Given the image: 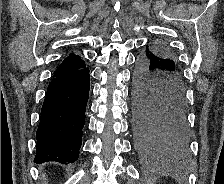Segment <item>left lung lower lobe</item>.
<instances>
[{
	"instance_id": "0a47b994",
	"label": "left lung lower lobe",
	"mask_w": 224,
	"mask_h": 184,
	"mask_svg": "<svg viewBox=\"0 0 224 184\" xmlns=\"http://www.w3.org/2000/svg\"><path fill=\"white\" fill-rule=\"evenodd\" d=\"M178 67L141 51L133 76V129L140 150L154 153L186 149L185 88Z\"/></svg>"
}]
</instances>
